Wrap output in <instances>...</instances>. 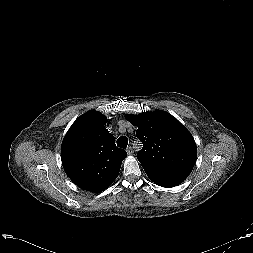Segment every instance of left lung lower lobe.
Returning <instances> with one entry per match:
<instances>
[{
  "mask_svg": "<svg viewBox=\"0 0 253 253\" xmlns=\"http://www.w3.org/2000/svg\"><path fill=\"white\" fill-rule=\"evenodd\" d=\"M144 170L149 179H151V181L166 188L174 187L180 184L189 175L188 173L178 171L158 170L149 168H144Z\"/></svg>",
  "mask_w": 253,
  "mask_h": 253,
  "instance_id": "1",
  "label": "left lung lower lobe"
}]
</instances>
